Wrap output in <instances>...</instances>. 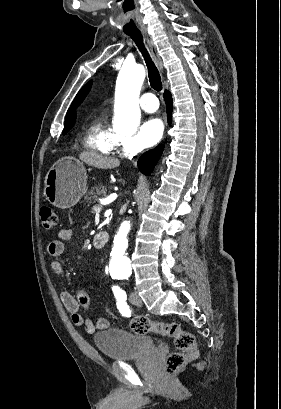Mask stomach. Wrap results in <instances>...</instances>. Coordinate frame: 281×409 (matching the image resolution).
<instances>
[{
	"label": "stomach",
	"mask_w": 281,
	"mask_h": 409,
	"mask_svg": "<svg viewBox=\"0 0 281 409\" xmlns=\"http://www.w3.org/2000/svg\"><path fill=\"white\" fill-rule=\"evenodd\" d=\"M86 168L74 156H62L54 162L45 176L44 194L51 205L70 209L86 190Z\"/></svg>",
	"instance_id": "0dacf381"
}]
</instances>
